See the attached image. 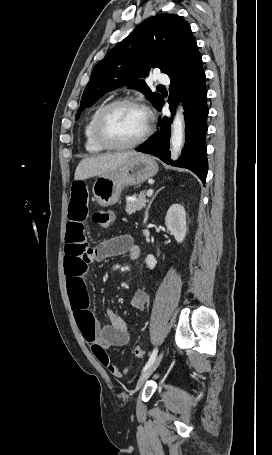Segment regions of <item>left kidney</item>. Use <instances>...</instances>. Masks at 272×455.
<instances>
[{
	"mask_svg": "<svg viewBox=\"0 0 272 455\" xmlns=\"http://www.w3.org/2000/svg\"><path fill=\"white\" fill-rule=\"evenodd\" d=\"M165 224L167 229L174 235L175 240L181 243L186 235V212L183 206L179 204H173L167 211L165 218ZM146 264L150 269H153L157 260L153 255H148L146 258Z\"/></svg>",
	"mask_w": 272,
	"mask_h": 455,
	"instance_id": "5707ae66",
	"label": "left kidney"
}]
</instances>
